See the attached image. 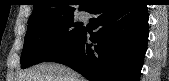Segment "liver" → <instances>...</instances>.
Here are the masks:
<instances>
[{"label":"liver","mask_w":169,"mask_h":81,"mask_svg":"<svg viewBox=\"0 0 169 81\" xmlns=\"http://www.w3.org/2000/svg\"><path fill=\"white\" fill-rule=\"evenodd\" d=\"M19 81H86L71 68L53 62L35 65L20 75Z\"/></svg>","instance_id":"6515ba94"}]
</instances>
